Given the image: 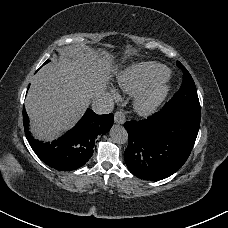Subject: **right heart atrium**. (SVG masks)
<instances>
[{
  "instance_id": "right-heart-atrium-1",
  "label": "right heart atrium",
  "mask_w": 228,
  "mask_h": 228,
  "mask_svg": "<svg viewBox=\"0 0 228 228\" xmlns=\"http://www.w3.org/2000/svg\"><path fill=\"white\" fill-rule=\"evenodd\" d=\"M112 95H113L115 98H118V94H117L115 91H112Z\"/></svg>"
}]
</instances>
